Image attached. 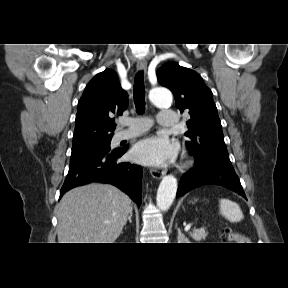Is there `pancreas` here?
Returning a JSON list of instances; mask_svg holds the SVG:
<instances>
[{
    "label": "pancreas",
    "instance_id": "cf45deb5",
    "mask_svg": "<svg viewBox=\"0 0 288 288\" xmlns=\"http://www.w3.org/2000/svg\"><path fill=\"white\" fill-rule=\"evenodd\" d=\"M208 235V232L205 231V229H194L192 232H190V236L195 240V241H201L206 239Z\"/></svg>",
    "mask_w": 288,
    "mask_h": 288
}]
</instances>
